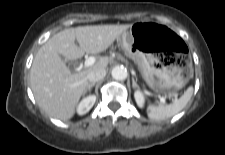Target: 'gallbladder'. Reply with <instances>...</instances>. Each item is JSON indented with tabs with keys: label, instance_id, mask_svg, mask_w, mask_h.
<instances>
[{
	"label": "gallbladder",
	"instance_id": "obj_1",
	"mask_svg": "<svg viewBox=\"0 0 225 155\" xmlns=\"http://www.w3.org/2000/svg\"><path fill=\"white\" fill-rule=\"evenodd\" d=\"M65 62L68 64V66H69V67H71V66H72V62H70V61H66V60H65Z\"/></svg>",
	"mask_w": 225,
	"mask_h": 155
}]
</instances>
